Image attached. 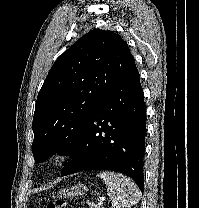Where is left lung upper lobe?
Returning <instances> with one entry per match:
<instances>
[{
    "mask_svg": "<svg viewBox=\"0 0 199 208\" xmlns=\"http://www.w3.org/2000/svg\"><path fill=\"white\" fill-rule=\"evenodd\" d=\"M135 62L113 31L92 30L53 64L38 94L32 129L35 162L70 156L91 114Z\"/></svg>",
    "mask_w": 199,
    "mask_h": 208,
    "instance_id": "5c2ea615",
    "label": "left lung upper lobe"
}]
</instances>
